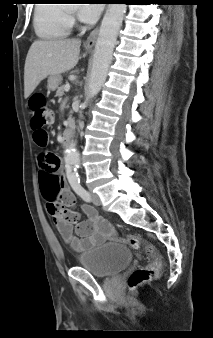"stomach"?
I'll return each instance as SVG.
<instances>
[{
  "label": "stomach",
  "mask_w": 213,
  "mask_h": 338,
  "mask_svg": "<svg viewBox=\"0 0 213 338\" xmlns=\"http://www.w3.org/2000/svg\"><path fill=\"white\" fill-rule=\"evenodd\" d=\"M62 81V76L60 74L57 75H50L47 80V88L50 91H55L59 84Z\"/></svg>",
  "instance_id": "0dacf381"
}]
</instances>
